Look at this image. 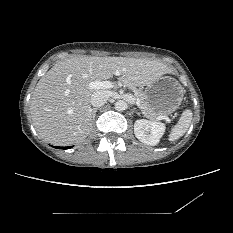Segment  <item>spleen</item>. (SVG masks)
<instances>
[{
	"mask_svg": "<svg viewBox=\"0 0 233 233\" xmlns=\"http://www.w3.org/2000/svg\"><path fill=\"white\" fill-rule=\"evenodd\" d=\"M192 117L193 113L191 110L186 109L183 111L178 123L171 129L169 141H175L186 133L191 124Z\"/></svg>",
	"mask_w": 233,
	"mask_h": 233,
	"instance_id": "1",
	"label": "spleen"
}]
</instances>
